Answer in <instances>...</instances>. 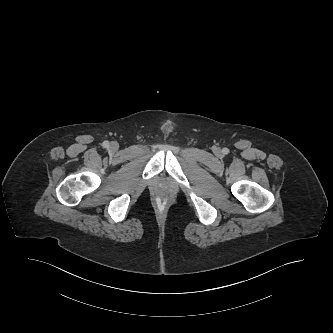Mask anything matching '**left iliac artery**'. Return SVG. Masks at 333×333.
Segmentation results:
<instances>
[{
  "mask_svg": "<svg viewBox=\"0 0 333 333\" xmlns=\"http://www.w3.org/2000/svg\"><path fill=\"white\" fill-rule=\"evenodd\" d=\"M223 152H224V154H227L229 152V150L227 148H224Z\"/></svg>",
  "mask_w": 333,
  "mask_h": 333,
  "instance_id": "1",
  "label": "left iliac artery"
}]
</instances>
